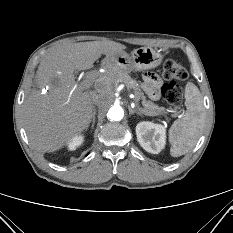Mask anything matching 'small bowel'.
<instances>
[{"instance_id":"obj_1","label":"small bowel","mask_w":233,"mask_h":233,"mask_svg":"<svg viewBox=\"0 0 233 233\" xmlns=\"http://www.w3.org/2000/svg\"><path fill=\"white\" fill-rule=\"evenodd\" d=\"M161 79L153 73L143 75V89L150 99L158 100L160 98Z\"/></svg>"}]
</instances>
